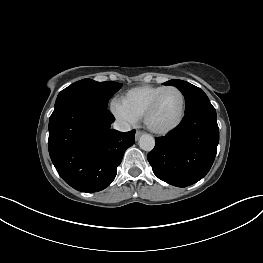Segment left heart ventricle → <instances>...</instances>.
<instances>
[{
  "instance_id": "1",
  "label": "left heart ventricle",
  "mask_w": 263,
  "mask_h": 263,
  "mask_svg": "<svg viewBox=\"0 0 263 263\" xmlns=\"http://www.w3.org/2000/svg\"><path fill=\"white\" fill-rule=\"evenodd\" d=\"M182 98L178 91L169 90L160 99L151 115L150 123L156 128H164L173 124L180 116Z\"/></svg>"
}]
</instances>
